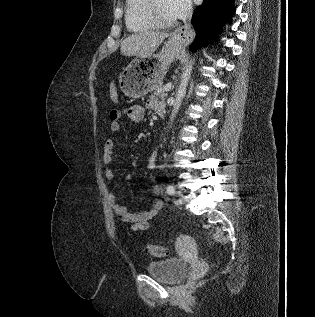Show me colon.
Here are the masks:
<instances>
[{
	"label": "colon",
	"mask_w": 315,
	"mask_h": 317,
	"mask_svg": "<svg viewBox=\"0 0 315 317\" xmlns=\"http://www.w3.org/2000/svg\"><path fill=\"white\" fill-rule=\"evenodd\" d=\"M110 94L112 100L117 101V92L114 86L111 87ZM146 251L147 253L155 257H165L168 255V250L165 247L155 244H147Z\"/></svg>",
	"instance_id": "1"
}]
</instances>
